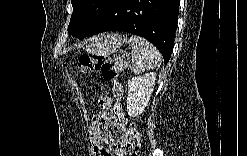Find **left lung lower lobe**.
Wrapping results in <instances>:
<instances>
[{"mask_svg":"<svg viewBox=\"0 0 247 156\" xmlns=\"http://www.w3.org/2000/svg\"><path fill=\"white\" fill-rule=\"evenodd\" d=\"M179 0H113L88 37L105 31H125L155 45L168 63L174 45Z\"/></svg>","mask_w":247,"mask_h":156,"instance_id":"1","label":"left lung lower lobe"}]
</instances>
